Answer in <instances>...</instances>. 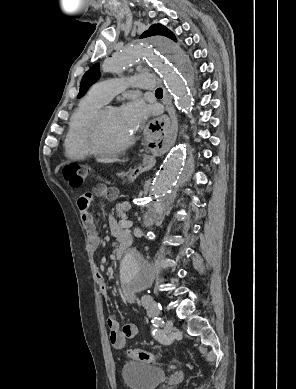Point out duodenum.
<instances>
[{
	"instance_id": "1",
	"label": "duodenum",
	"mask_w": 296,
	"mask_h": 389,
	"mask_svg": "<svg viewBox=\"0 0 296 389\" xmlns=\"http://www.w3.org/2000/svg\"><path fill=\"white\" fill-rule=\"evenodd\" d=\"M131 242H132V239H131L130 235L122 236L119 239V246H118L116 253H115L116 259H120L125 254V252L129 248V246L131 245Z\"/></svg>"
}]
</instances>
